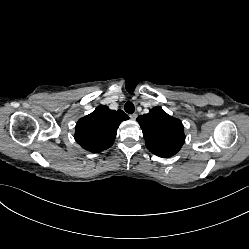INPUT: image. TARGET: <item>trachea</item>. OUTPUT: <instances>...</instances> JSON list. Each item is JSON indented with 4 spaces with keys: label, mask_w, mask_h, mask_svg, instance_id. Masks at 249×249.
Returning a JSON list of instances; mask_svg holds the SVG:
<instances>
[{
    "label": "trachea",
    "mask_w": 249,
    "mask_h": 249,
    "mask_svg": "<svg viewBox=\"0 0 249 249\" xmlns=\"http://www.w3.org/2000/svg\"><path fill=\"white\" fill-rule=\"evenodd\" d=\"M124 109L127 113L129 114H132L134 113L135 111V107H134V104L131 103V102H127L125 105H124Z\"/></svg>",
    "instance_id": "obj_1"
}]
</instances>
